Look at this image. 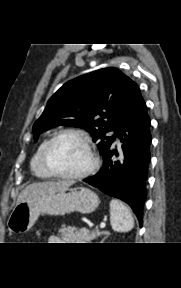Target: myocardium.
Listing matches in <instances>:
<instances>
[{"label": "myocardium", "instance_id": "obj_1", "mask_svg": "<svg viewBox=\"0 0 181 288\" xmlns=\"http://www.w3.org/2000/svg\"><path fill=\"white\" fill-rule=\"evenodd\" d=\"M66 135H74V136L79 137L84 143V145L86 146L88 154H89L88 166L78 173L65 174V173L59 172L53 167V165L50 162V151H51L52 146L59 138L66 136ZM42 160H43V164L45 168L48 170V172L51 175L57 178L70 179V180L85 178L86 176L90 175L98 166V158L95 154L93 143H92L90 136L85 131L77 129V128H67V129H63L55 133L47 141L44 147Z\"/></svg>", "mask_w": 181, "mask_h": 288}]
</instances>
